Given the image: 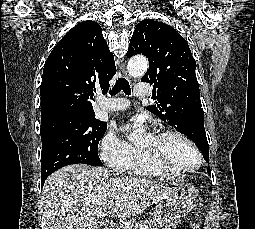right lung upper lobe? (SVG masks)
<instances>
[{"label": "right lung upper lobe", "instance_id": "right-lung-upper-lobe-1", "mask_svg": "<svg viewBox=\"0 0 255 229\" xmlns=\"http://www.w3.org/2000/svg\"><path fill=\"white\" fill-rule=\"evenodd\" d=\"M115 73L114 56L100 25L90 20L79 23L45 62L40 88L42 119L95 115L90 99L96 89L106 94Z\"/></svg>", "mask_w": 255, "mask_h": 229}]
</instances>
